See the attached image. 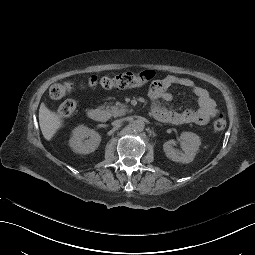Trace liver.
<instances>
[{"label": "liver", "mask_w": 255, "mask_h": 255, "mask_svg": "<svg viewBox=\"0 0 255 255\" xmlns=\"http://www.w3.org/2000/svg\"><path fill=\"white\" fill-rule=\"evenodd\" d=\"M39 125L46 140L51 138L62 125V121L55 112L50 111L44 103L39 108Z\"/></svg>", "instance_id": "1"}]
</instances>
